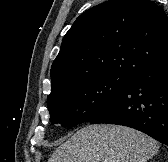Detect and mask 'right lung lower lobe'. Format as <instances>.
Instances as JSON below:
<instances>
[{
	"label": "right lung lower lobe",
	"instance_id": "obj_1",
	"mask_svg": "<svg viewBox=\"0 0 168 162\" xmlns=\"http://www.w3.org/2000/svg\"><path fill=\"white\" fill-rule=\"evenodd\" d=\"M90 123L128 126L168 146V61L131 77Z\"/></svg>",
	"mask_w": 168,
	"mask_h": 162
}]
</instances>
